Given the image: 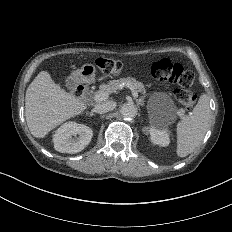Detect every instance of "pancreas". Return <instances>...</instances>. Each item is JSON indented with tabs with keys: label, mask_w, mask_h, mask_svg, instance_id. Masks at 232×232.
<instances>
[{
	"label": "pancreas",
	"mask_w": 232,
	"mask_h": 232,
	"mask_svg": "<svg viewBox=\"0 0 232 232\" xmlns=\"http://www.w3.org/2000/svg\"><path fill=\"white\" fill-rule=\"evenodd\" d=\"M132 88L136 92L145 93V87L143 83L137 81L135 78L126 77L120 78L118 80H111L108 84H102L99 86V90L95 94L106 92L108 94L116 92L118 89H121V86Z\"/></svg>",
	"instance_id": "pancreas-1"
}]
</instances>
